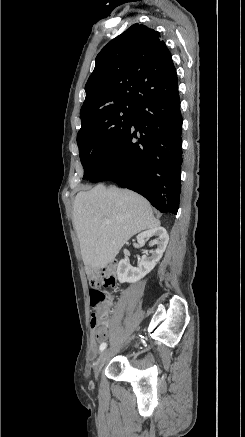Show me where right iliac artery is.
<instances>
[{
	"mask_svg": "<svg viewBox=\"0 0 245 437\" xmlns=\"http://www.w3.org/2000/svg\"><path fill=\"white\" fill-rule=\"evenodd\" d=\"M106 347H107V344L106 343H102L100 345V351H103Z\"/></svg>",
	"mask_w": 245,
	"mask_h": 437,
	"instance_id": "1",
	"label": "right iliac artery"
}]
</instances>
